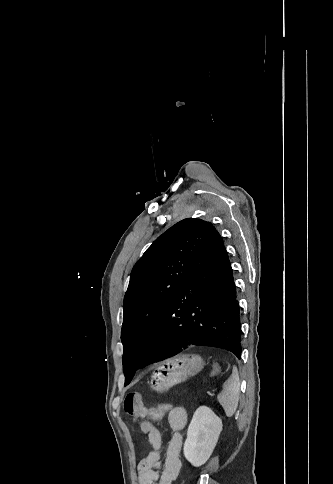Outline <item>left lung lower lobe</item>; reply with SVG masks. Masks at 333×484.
<instances>
[{
    "mask_svg": "<svg viewBox=\"0 0 333 484\" xmlns=\"http://www.w3.org/2000/svg\"><path fill=\"white\" fill-rule=\"evenodd\" d=\"M239 314L229 258L212 225L155 322L141 366L175 356L191 345L226 349L240 358Z\"/></svg>",
    "mask_w": 333,
    "mask_h": 484,
    "instance_id": "1",
    "label": "left lung lower lobe"
}]
</instances>
